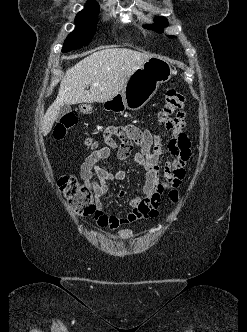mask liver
Segmentation results:
<instances>
[{
    "label": "liver",
    "instance_id": "obj_1",
    "mask_svg": "<svg viewBox=\"0 0 247 332\" xmlns=\"http://www.w3.org/2000/svg\"><path fill=\"white\" fill-rule=\"evenodd\" d=\"M152 54L127 48H106L92 53L69 68L60 83L56 100L46 111L41 132L52 129L63 104L104 103L119 94L132 73ZM98 83L99 86L91 84ZM90 85V90H85Z\"/></svg>",
    "mask_w": 247,
    "mask_h": 332
}]
</instances>
